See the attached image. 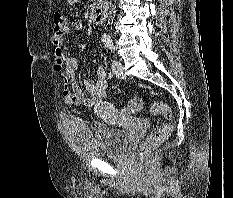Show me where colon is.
<instances>
[{
    "label": "colon",
    "instance_id": "colon-1",
    "mask_svg": "<svg viewBox=\"0 0 233 198\" xmlns=\"http://www.w3.org/2000/svg\"><path fill=\"white\" fill-rule=\"evenodd\" d=\"M54 31H61L66 24L65 18L60 12H55L53 17ZM125 111L130 114H136L142 109V101L138 97L131 98L126 106ZM151 112L154 115H162L165 119V122L160 125L157 129L152 131L139 147L138 156L140 160H145L148 153L158 145H160L172 132L173 130V112L171 108L164 102L157 101L152 104Z\"/></svg>",
    "mask_w": 233,
    "mask_h": 198
}]
</instances>
